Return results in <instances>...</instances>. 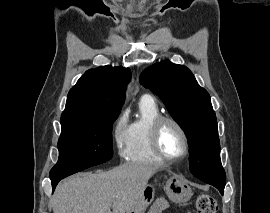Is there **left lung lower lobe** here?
I'll use <instances>...</instances> for the list:
<instances>
[{"label": "left lung lower lobe", "instance_id": "left-lung-lower-lobe-1", "mask_svg": "<svg viewBox=\"0 0 270 213\" xmlns=\"http://www.w3.org/2000/svg\"><path fill=\"white\" fill-rule=\"evenodd\" d=\"M189 167H190L191 173H192L195 177H197L198 174H197V172H196V166L190 165V163H189ZM197 178H198V177H197ZM219 191H220V193L223 195L224 189H219Z\"/></svg>", "mask_w": 270, "mask_h": 213}]
</instances>
